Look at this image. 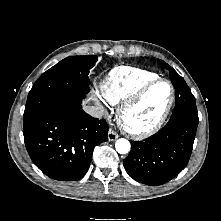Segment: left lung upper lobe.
I'll use <instances>...</instances> for the list:
<instances>
[{
	"mask_svg": "<svg viewBox=\"0 0 221 221\" xmlns=\"http://www.w3.org/2000/svg\"><path fill=\"white\" fill-rule=\"evenodd\" d=\"M160 62L169 71L170 78H171V81L174 85V88H176V87L182 88L183 90H185L186 92L189 93L191 98H193V103H192V106H191V110H189V112L177 114V112H175L173 110L170 119H182V120L194 123V124H198L199 119H198V113H197L195 98L192 95L191 91L189 90V87L187 86L186 82L171 66H169L164 61H160Z\"/></svg>",
	"mask_w": 221,
	"mask_h": 221,
	"instance_id": "5c2ea615",
	"label": "left lung upper lobe"
}]
</instances>
